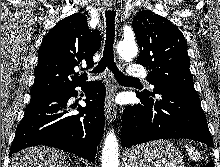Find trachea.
<instances>
[{"instance_id": "1", "label": "trachea", "mask_w": 220, "mask_h": 167, "mask_svg": "<svg viewBox=\"0 0 220 167\" xmlns=\"http://www.w3.org/2000/svg\"><path fill=\"white\" fill-rule=\"evenodd\" d=\"M115 11H106L105 18H106V40L105 46L103 51V56L101 60L98 62L96 68L92 71L94 74H99L103 72L106 68H108L112 74L114 75L115 79L120 84H129L133 82L139 81L137 78H132L125 76L121 73L115 62H114V40H115Z\"/></svg>"}]
</instances>
